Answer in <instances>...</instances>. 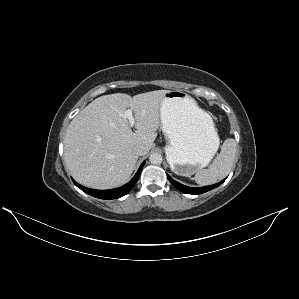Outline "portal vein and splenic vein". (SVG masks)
Segmentation results:
<instances>
[{
    "mask_svg": "<svg viewBox=\"0 0 299 299\" xmlns=\"http://www.w3.org/2000/svg\"><path fill=\"white\" fill-rule=\"evenodd\" d=\"M124 117L128 119L130 127H133L136 123L134 117H133V111L132 109H128L124 112Z\"/></svg>",
    "mask_w": 299,
    "mask_h": 299,
    "instance_id": "1",
    "label": "portal vein and splenic vein"
}]
</instances>
